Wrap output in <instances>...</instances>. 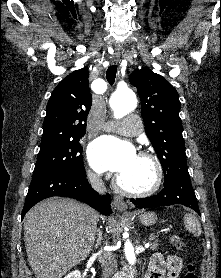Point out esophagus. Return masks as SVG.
I'll list each match as a JSON object with an SVG mask.
<instances>
[{
    "mask_svg": "<svg viewBox=\"0 0 221 278\" xmlns=\"http://www.w3.org/2000/svg\"><path fill=\"white\" fill-rule=\"evenodd\" d=\"M120 55V50L116 49L113 54L114 60L116 62L119 61ZM113 203L118 210L125 211L128 208L124 198L121 195H115Z\"/></svg>",
    "mask_w": 221,
    "mask_h": 278,
    "instance_id": "obj_1",
    "label": "esophagus"
}]
</instances>
